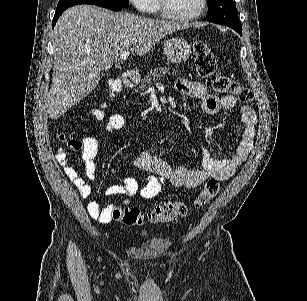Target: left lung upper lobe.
I'll return each instance as SVG.
<instances>
[{
	"label": "left lung upper lobe",
	"instance_id": "left-lung-upper-lobe-1",
	"mask_svg": "<svg viewBox=\"0 0 307 301\" xmlns=\"http://www.w3.org/2000/svg\"><path fill=\"white\" fill-rule=\"evenodd\" d=\"M208 10L209 22L227 25L242 35V25L233 0H208Z\"/></svg>",
	"mask_w": 307,
	"mask_h": 301
}]
</instances>
